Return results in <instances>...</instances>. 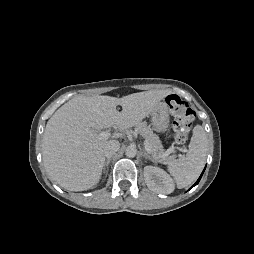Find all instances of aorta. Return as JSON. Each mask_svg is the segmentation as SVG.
Masks as SVG:
<instances>
[{
    "label": "aorta",
    "mask_w": 254,
    "mask_h": 254,
    "mask_svg": "<svg viewBox=\"0 0 254 254\" xmlns=\"http://www.w3.org/2000/svg\"><path fill=\"white\" fill-rule=\"evenodd\" d=\"M136 154H137V149H136V147L133 146V145L128 146V147L126 148V150H125V155H126L127 157H129V158L135 157Z\"/></svg>",
    "instance_id": "obj_1"
}]
</instances>
